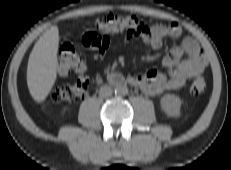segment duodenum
I'll return each instance as SVG.
<instances>
[{"label":"duodenum","mask_w":231,"mask_h":170,"mask_svg":"<svg viewBox=\"0 0 231 170\" xmlns=\"http://www.w3.org/2000/svg\"><path fill=\"white\" fill-rule=\"evenodd\" d=\"M111 81L115 85L126 83V80H124L119 74H114L111 76Z\"/></svg>","instance_id":"duodenum-1"}]
</instances>
